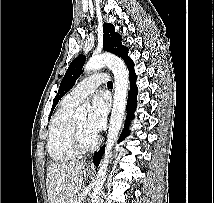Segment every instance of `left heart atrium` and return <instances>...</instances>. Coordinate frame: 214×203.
Masks as SVG:
<instances>
[{"instance_id": "39dd6f15", "label": "left heart atrium", "mask_w": 214, "mask_h": 203, "mask_svg": "<svg viewBox=\"0 0 214 203\" xmlns=\"http://www.w3.org/2000/svg\"><path fill=\"white\" fill-rule=\"evenodd\" d=\"M107 113V101L100 94H96L86 120V127L92 134H97L105 127Z\"/></svg>"}]
</instances>
